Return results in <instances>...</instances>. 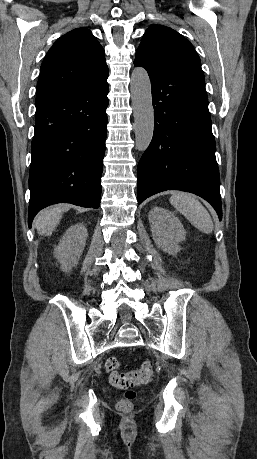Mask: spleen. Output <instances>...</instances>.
Segmentation results:
<instances>
[{"label": "spleen", "instance_id": "3e777b00", "mask_svg": "<svg viewBox=\"0 0 257 459\" xmlns=\"http://www.w3.org/2000/svg\"><path fill=\"white\" fill-rule=\"evenodd\" d=\"M170 203L200 231L207 234L213 231L210 214L192 194L175 192L170 197Z\"/></svg>", "mask_w": 257, "mask_h": 459}]
</instances>
